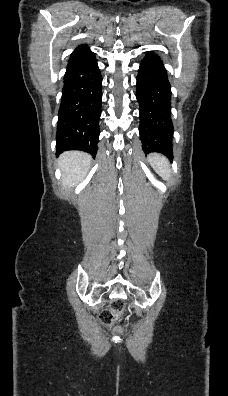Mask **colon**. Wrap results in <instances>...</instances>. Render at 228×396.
<instances>
[{
    "label": "colon",
    "mask_w": 228,
    "mask_h": 396,
    "mask_svg": "<svg viewBox=\"0 0 228 396\" xmlns=\"http://www.w3.org/2000/svg\"><path fill=\"white\" fill-rule=\"evenodd\" d=\"M124 309V303L122 300H114L110 304L109 310H106L101 313L100 319L101 322L106 325L110 326L113 323L114 317L117 314H120Z\"/></svg>",
    "instance_id": "5ec220e1"
}]
</instances>
